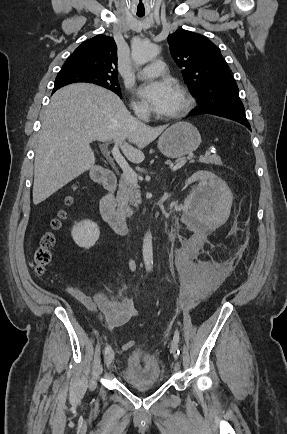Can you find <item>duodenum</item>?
Here are the masks:
<instances>
[{"mask_svg": "<svg viewBox=\"0 0 287 434\" xmlns=\"http://www.w3.org/2000/svg\"><path fill=\"white\" fill-rule=\"evenodd\" d=\"M92 175L95 180L101 182L107 189L100 202V213L103 220L120 236H126L129 232L128 223L116 214L114 201L117 188V176L112 170H94Z\"/></svg>", "mask_w": 287, "mask_h": 434, "instance_id": "duodenum-1", "label": "duodenum"}]
</instances>
